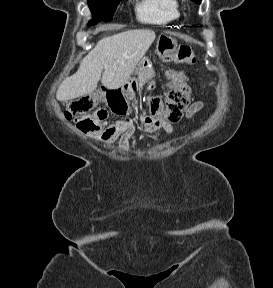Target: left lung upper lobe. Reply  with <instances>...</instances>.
Returning a JSON list of instances; mask_svg holds the SVG:
<instances>
[{"label":"left lung upper lobe","instance_id":"5c2ea615","mask_svg":"<svg viewBox=\"0 0 273 288\" xmlns=\"http://www.w3.org/2000/svg\"><path fill=\"white\" fill-rule=\"evenodd\" d=\"M192 1H194L196 3H200L201 2V0H192Z\"/></svg>","mask_w":273,"mask_h":288}]
</instances>
